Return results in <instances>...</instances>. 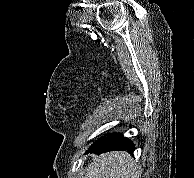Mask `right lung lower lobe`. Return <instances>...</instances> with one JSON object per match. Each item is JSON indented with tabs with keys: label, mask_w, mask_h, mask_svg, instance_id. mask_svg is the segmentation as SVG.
<instances>
[{
	"label": "right lung lower lobe",
	"mask_w": 194,
	"mask_h": 178,
	"mask_svg": "<svg viewBox=\"0 0 194 178\" xmlns=\"http://www.w3.org/2000/svg\"><path fill=\"white\" fill-rule=\"evenodd\" d=\"M127 151L133 153L135 150L134 144L127 138L123 137L122 134L113 133L108 134L107 137L98 139L94 144L89 147L87 152L101 154L108 151Z\"/></svg>",
	"instance_id": "right-lung-lower-lobe-1"
}]
</instances>
